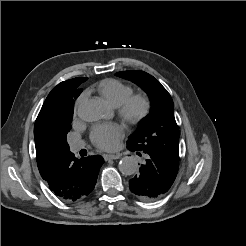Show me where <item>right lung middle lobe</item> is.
Listing matches in <instances>:
<instances>
[{
  "label": "right lung middle lobe",
  "instance_id": "right-lung-middle-lobe-1",
  "mask_svg": "<svg viewBox=\"0 0 246 246\" xmlns=\"http://www.w3.org/2000/svg\"><path fill=\"white\" fill-rule=\"evenodd\" d=\"M74 103H70L60 114L57 121V133L60 139L66 144L67 134L71 129V122L73 118Z\"/></svg>",
  "mask_w": 246,
  "mask_h": 246
}]
</instances>
